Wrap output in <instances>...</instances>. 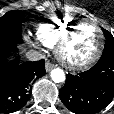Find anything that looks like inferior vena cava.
I'll list each match as a JSON object with an SVG mask.
<instances>
[{
  "label": "inferior vena cava",
  "instance_id": "obj_1",
  "mask_svg": "<svg viewBox=\"0 0 114 114\" xmlns=\"http://www.w3.org/2000/svg\"><path fill=\"white\" fill-rule=\"evenodd\" d=\"M26 57L30 61H37V60L42 59V54H41V52L36 51V50H29L26 53Z\"/></svg>",
  "mask_w": 114,
  "mask_h": 114
}]
</instances>
